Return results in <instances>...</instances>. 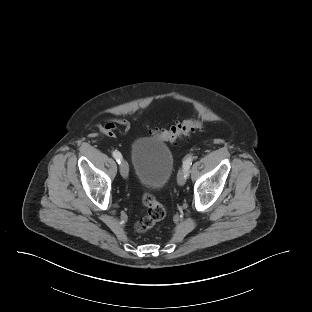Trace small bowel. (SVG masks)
Here are the masks:
<instances>
[{"label":"small bowel","instance_id":"1","mask_svg":"<svg viewBox=\"0 0 312 312\" xmlns=\"http://www.w3.org/2000/svg\"><path fill=\"white\" fill-rule=\"evenodd\" d=\"M97 129L105 136L114 138L118 134H126L130 129L129 122L120 117H110L104 124H97Z\"/></svg>","mask_w":312,"mask_h":312}]
</instances>
